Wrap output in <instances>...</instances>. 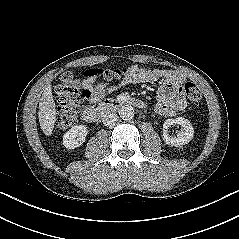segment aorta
Masks as SVG:
<instances>
[{
  "label": "aorta",
  "instance_id": "762f6f07",
  "mask_svg": "<svg viewBox=\"0 0 239 239\" xmlns=\"http://www.w3.org/2000/svg\"><path fill=\"white\" fill-rule=\"evenodd\" d=\"M135 111L132 106H122L119 110V116L123 120H131L134 117Z\"/></svg>",
  "mask_w": 239,
  "mask_h": 239
}]
</instances>
